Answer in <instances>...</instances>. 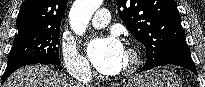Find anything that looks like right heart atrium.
Instances as JSON below:
<instances>
[{"mask_svg": "<svg viewBox=\"0 0 205 87\" xmlns=\"http://www.w3.org/2000/svg\"><path fill=\"white\" fill-rule=\"evenodd\" d=\"M61 55L64 67L70 76L80 78L91 75V67L88 60L79 52L73 40L67 38L62 40Z\"/></svg>", "mask_w": 205, "mask_h": 87, "instance_id": "1", "label": "right heart atrium"}]
</instances>
